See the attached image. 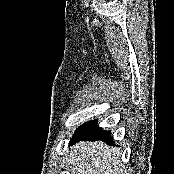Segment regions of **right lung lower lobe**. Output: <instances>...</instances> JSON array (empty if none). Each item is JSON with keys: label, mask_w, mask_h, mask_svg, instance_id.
<instances>
[{"label": "right lung lower lobe", "mask_w": 175, "mask_h": 174, "mask_svg": "<svg viewBox=\"0 0 175 174\" xmlns=\"http://www.w3.org/2000/svg\"><path fill=\"white\" fill-rule=\"evenodd\" d=\"M80 140H102L110 145H114L113 139L111 138V131H103L102 128L97 125V120L89 121L80 126L76 130L70 144L76 143Z\"/></svg>", "instance_id": "1"}]
</instances>
